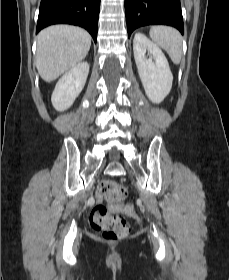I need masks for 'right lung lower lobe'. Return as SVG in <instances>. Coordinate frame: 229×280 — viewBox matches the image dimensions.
<instances>
[{"instance_id":"98d812e1","label":"right lung lower lobe","mask_w":229,"mask_h":280,"mask_svg":"<svg viewBox=\"0 0 229 280\" xmlns=\"http://www.w3.org/2000/svg\"><path fill=\"white\" fill-rule=\"evenodd\" d=\"M100 0H41L36 33L53 24L85 28L97 40Z\"/></svg>"}]
</instances>
